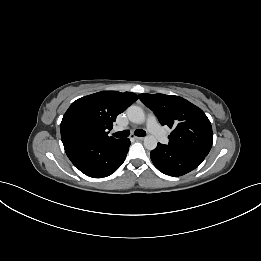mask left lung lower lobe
<instances>
[{
    "instance_id": "left-lung-lower-lobe-1",
    "label": "left lung lower lobe",
    "mask_w": 261,
    "mask_h": 261,
    "mask_svg": "<svg viewBox=\"0 0 261 261\" xmlns=\"http://www.w3.org/2000/svg\"><path fill=\"white\" fill-rule=\"evenodd\" d=\"M150 157L155 167L162 173L182 176L197 168L206 156L158 143L156 149L151 151Z\"/></svg>"
}]
</instances>
